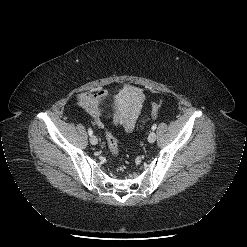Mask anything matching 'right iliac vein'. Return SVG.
Segmentation results:
<instances>
[{"label":"right iliac vein","mask_w":247,"mask_h":247,"mask_svg":"<svg viewBox=\"0 0 247 247\" xmlns=\"http://www.w3.org/2000/svg\"><path fill=\"white\" fill-rule=\"evenodd\" d=\"M90 142H91V144L96 145V144L98 143L97 137L94 136V135H92V136L90 137Z\"/></svg>","instance_id":"obj_1"}]
</instances>
